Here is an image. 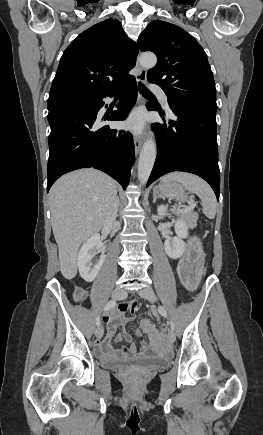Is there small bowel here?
Wrapping results in <instances>:
<instances>
[{"mask_svg":"<svg viewBox=\"0 0 263 435\" xmlns=\"http://www.w3.org/2000/svg\"><path fill=\"white\" fill-rule=\"evenodd\" d=\"M180 269L181 267L179 264L178 271H180ZM135 308V305H132L131 307H122L118 311L105 316L104 321L107 324L108 333L102 340L97 341V343L95 344V351L101 359H104L106 361L117 358L135 359L140 358L148 353H150L151 355H156L159 350H161L164 337L162 333L158 332L152 325V323L147 319H144L142 321V328L149 335L152 341H149L147 343L142 335V332L139 330L136 331V336L138 337V341L141 346V352L137 350L135 344L131 343L132 336L128 333L118 334L115 338V342L119 343L124 338L127 342L131 343L129 347H115L113 345L112 338L115 334L116 329L119 326H124L129 321L126 313H134Z\"/></svg>","mask_w":263,"mask_h":435,"instance_id":"obj_1","label":"small bowel"}]
</instances>
